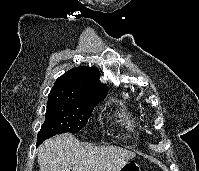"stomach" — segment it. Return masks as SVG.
<instances>
[{
  "label": "stomach",
  "instance_id": "obj_1",
  "mask_svg": "<svg viewBox=\"0 0 199 171\" xmlns=\"http://www.w3.org/2000/svg\"><path fill=\"white\" fill-rule=\"evenodd\" d=\"M118 171H141V167L138 163L133 161H128L123 164Z\"/></svg>",
  "mask_w": 199,
  "mask_h": 171
}]
</instances>
